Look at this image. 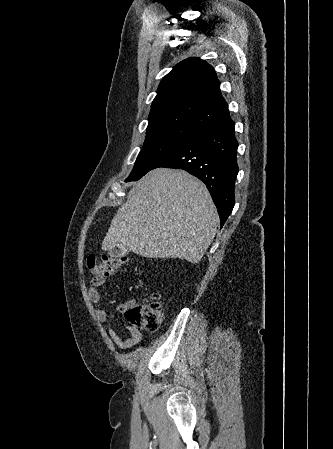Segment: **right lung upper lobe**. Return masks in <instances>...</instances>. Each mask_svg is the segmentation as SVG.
<instances>
[{
	"mask_svg": "<svg viewBox=\"0 0 333 449\" xmlns=\"http://www.w3.org/2000/svg\"><path fill=\"white\" fill-rule=\"evenodd\" d=\"M228 115L214 68L200 58H188L160 82L147 132L169 124H190L204 129Z\"/></svg>",
	"mask_w": 333,
	"mask_h": 449,
	"instance_id": "1",
	"label": "right lung upper lobe"
}]
</instances>
